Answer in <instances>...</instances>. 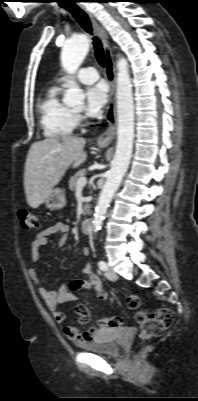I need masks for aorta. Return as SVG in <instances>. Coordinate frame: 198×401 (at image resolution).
<instances>
[{
	"mask_svg": "<svg viewBox=\"0 0 198 401\" xmlns=\"http://www.w3.org/2000/svg\"><path fill=\"white\" fill-rule=\"evenodd\" d=\"M89 44L90 41L86 35H79L65 42L61 52V63L69 74H74L79 68L88 53ZM117 71V145L112 167L95 208L92 222L94 232L101 228L109 204L128 169L133 149L134 103L129 67L125 58L118 60ZM83 101V91L73 80L69 81L63 102L68 106H75L82 104Z\"/></svg>",
	"mask_w": 198,
	"mask_h": 401,
	"instance_id": "obj_1",
	"label": "aorta"
}]
</instances>
